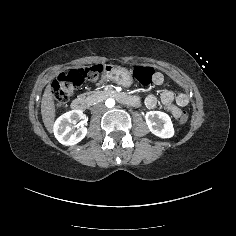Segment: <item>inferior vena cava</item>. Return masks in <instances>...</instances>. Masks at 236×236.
<instances>
[{
    "mask_svg": "<svg viewBox=\"0 0 236 236\" xmlns=\"http://www.w3.org/2000/svg\"><path fill=\"white\" fill-rule=\"evenodd\" d=\"M91 110L93 113H102L105 110V106L102 103H99L94 105Z\"/></svg>",
    "mask_w": 236,
    "mask_h": 236,
    "instance_id": "1",
    "label": "inferior vena cava"
}]
</instances>
